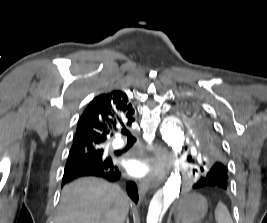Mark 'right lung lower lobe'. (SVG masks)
Wrapping results in <instances>:
<instances>
[{
	"instance_id": "right-lung-lower-lobe-1",
	"label": "right lung lower lobe",
	"mask_w": 267,
	"mask_h": 223,
	"mask_svg": "<svg viewBox=\"0 0 267 223\" xmlns=\"http://www.w3.org/2000/svg\"><path fill=\"white\" fill-rule=\"evenodd\" d=\"M85 176H94L106 179L111 182H115L121 179V172L119 168L113 163H108L106 165H97L95 163H91L69 171H64L62 186L69 181ZM126 189L130 198L135 203H137L138 189L136 184L134 182L129 181L126 185Z\"/></svg>"
}]
</instances>
